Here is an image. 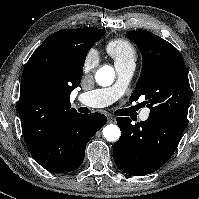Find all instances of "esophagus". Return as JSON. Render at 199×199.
Wrapping results in <instances>:
<instances>
[{
    "label": "esophagus",
    "instance_id": "obj_1",
    "mask_svg": "<svg viewBox=\"0 0 199 199\" xmlns=\"http://www.w3.org/2000/svg\"><path fill=\"white\" fill-rule=\"evenodd\" d=\"M115 121H116V120H115L114 117H112V116H109V117H108V122H109V123H115Z\"/></svg>",
    "mask_w": 199,
    "mask_h": 199
}]
</instances>
